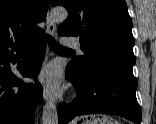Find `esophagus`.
<instances>
[{"label":"esophagus","instance_id":"34e87169","mask_svg":"<svg viewBox=\"0 0 156 124\" xmlns=\"http://www.w3.org/2000/svg\"><path fill=\"white\" fill-rule=\"evenodd\" d=\"M46 24H47V32H48V34L54 35L56 27H55V24H54V22H53V20L51 18L49 10H48L47 17H46ZM43 98L46 101H53V102H55V99H54L53 95L51 94V92L49 91L47 86L43 87Z\"/></svg>","mask_w":156,"mask_h":124}]
</instances>
